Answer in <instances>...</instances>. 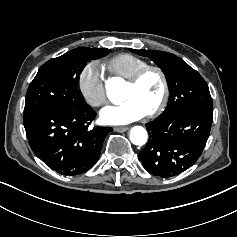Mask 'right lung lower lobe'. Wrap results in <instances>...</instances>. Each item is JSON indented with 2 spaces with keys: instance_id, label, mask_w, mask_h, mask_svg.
<instances>
[{
  "instance_id": "obj_1",
  "label": "right lung lower lobe",
  "mask_w": 237,
  "mask_h": 237,
  "mask_svg": "<svg viewBox=\"0 0 237 237\" xmlns=\"http://www.w3.org/2000/svg\"><path fill=\"white\" fill-rule=\"evenodd\" d=\"M96 113L86 104L53 107L24 117L33 152L63 175L89 170L98 160L106 134L112 128L89 125Z\"/></svg>"
}]
</instances>
